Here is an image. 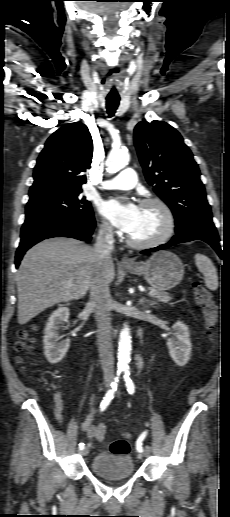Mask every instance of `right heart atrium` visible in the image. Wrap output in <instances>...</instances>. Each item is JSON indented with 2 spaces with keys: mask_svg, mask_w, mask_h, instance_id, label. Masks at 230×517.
Instances as JSON below:
<instances>
[{
  "mask_svg": "<svg viewBox=\"0 0 230 517\" xmlns=\"http://www.w3.org/2000/svg\"><path fill=\"white\" fill-rule=\"evenodd\" d=\"M100 231L104 236H111L113 234V229L107 222L101 224Z\"/></svg>",
  "mask_w": 230,
  "mask_h": 517,
  "instance_id": "1",
  "label": "right heart atrium"
}]
</instances>
